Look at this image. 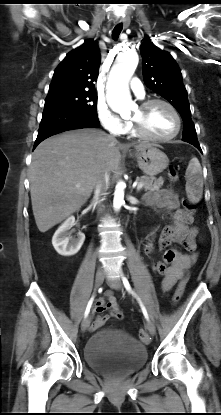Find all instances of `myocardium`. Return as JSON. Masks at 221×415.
<instances>
[{
    "mask_svg": "<svg viewBox=\"0 0 221 415\" xmlns=\"http://www.w3.org/2000/svg\"><path fill=\"white\" fill-rule=\"evenodd\" d=\"M154 104H162L166 106L172 112L176 120V128L174 132L168 136H155L147 132L140 121L132 119L131 123H132V128H133L134 133L143 139L150 140V141H156V142H167V141H170L176 138L179 135L181 131V127H182V119H181V116L178 110L172 103L161 98H151V99L145 100L139 105V107L141 110L144 111Z\"/></svg>",
    "mask_w": 221,
    "mask_h": 415,
    "instance_id": "obj_1",
    "label": "myocardium"
}]
</instances>
